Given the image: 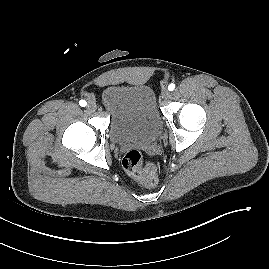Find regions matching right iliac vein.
Returning <instances> with one entry per match:
<instances>
[{"label":"right iliac vein","mask_w":269,"mask_h":269,"mask_svg":"<svg viewBox=\"0 0 269 269\" xmlns=\"http://www.w3.org/2000/svg\"><path fill=\"white\" fill-rule=\"evenodd\" d=\"M97 106H96V103L93 102V101H90L88 104H87V109L89 111H92L94 112L96 110Z\"/></svg>","instance_id":"1"}]
</instances>
